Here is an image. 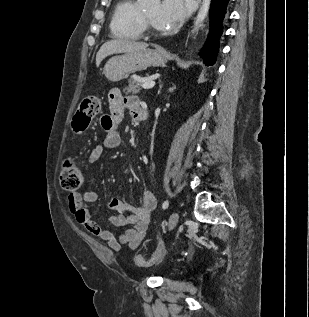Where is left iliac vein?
<instances>
[{
  "label": "left iliac vein",
  "instance_id": "4c4485c4",
  "mask_svg": "<svg viewBox=\"0 0 309 317\" xmlns=\"http://www.w3.org/2000/svg\"><path fill=\"white\" fill-rule=\"evenodd\" d=\"M178 221H179L178 212H173L169 218L168 229L172 230L173 228H175V226L178 224Z\"/></svg>",
  "mask_w": 309,
  "mask_h": 317
}]
</instances>
